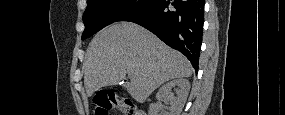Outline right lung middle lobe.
Wrapping results in <instances>:
<instances>
[{"instance_id": "1", "label": "right lung middle lobe", "mask_w": 285, "mask_h": 115, "mask_svg": "<svg viewBox=\"0 0 285 115\" xmlns=\"http://www.w3.org/2000/svg\"><path fill=\"white\" fill-rule=\"evenodd\" d=\"M153 2L155 0H88L87 8L83 14L85 30L82 40L89 38L113 22L122 21Z\"/></svg>"}]
</instances>
